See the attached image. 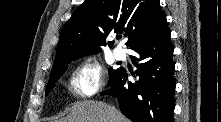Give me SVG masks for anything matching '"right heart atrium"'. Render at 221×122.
<instances>
[{
    "instance_id": "right-heart-atrium-1",
    "label": "right heart atrium",
    "mask_w": 221,
    "mask_h": 122,
    "mask_svg": "<svg viewBox=\"0 0 221 122\" xmlns=\"http://www.w3.org/2000/svg\"><path fill=\"white\" fill-rule=\"evenodd\" d=\"M103 86V71L101 66L86 60L79 64L71 74L70 89L75 97H91Z\"/></svg>"
}]
</instances>
